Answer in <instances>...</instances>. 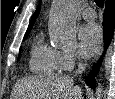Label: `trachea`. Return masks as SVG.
I'll use <instances>...</instances> for the list:
<instances>
[{
  "label": "trachea",
  "mask_w": 115,
  "mask_h": 99,
  "mask_svg": "<svg viewBox=\"0 0 115 99\" xmlns=\"http://www.w3.org/2000/svg\"><path fill=\"white\" fill-rule=\"evenodd\" d=\"M95 3L99 6L102 7L104 4V0H95Z\"/></svg>",
  "instance_id": "1"
}]
</instances>
